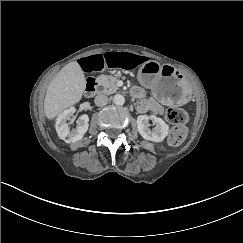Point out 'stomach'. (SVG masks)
<instances>
[{"mask_svg":"<svg viewBox=\"0 0 243 243\" xmlns=\"http://www.w3.org/2000/svg\"><path fill=\"white\" fill-rule=\"evenodd\" d=\"M137 77L140 84L151 89L154 97L164 105L182 106L190 100V84L172 65L147 61Z\"/></svg>","mask_w":243,"mask_h":243,"instance_id":"obj_1","label":"stomach"}]
</instances>
